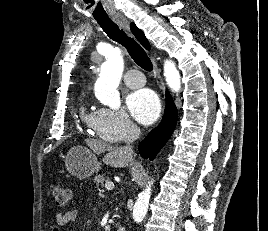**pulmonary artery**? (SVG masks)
I'll use <instances>...</instances> for the list:
<instances>
[{
    "label": "pulmonary artery",
    "instance_id": "pulmonary-artery-1",
    "mask_svg": "<svg viewBox=\"0 0 268 231\" xmlns=\"http://www.w3.org/2000/svg\"><path fill=\"white\" fill-rule=\"evenodd\" d=\"M125 84L130 88H139L145 84L143 74L138 69H130L123 77Z\"/></svg>",
    "mask_w": 268,
    "mask_h": 231
}]
</instances>
